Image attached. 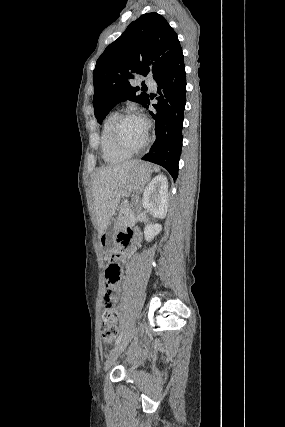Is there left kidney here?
Masks as SVG:
<instances>
[{
    "label": "left kidney",
    "mask_w": 285,
    "mask_h": 427,
    "mask_svg": "<svg viewBox=\"0 0 285 427\" xmlns=\"http://www.w3.org/2000/svg\"><path fill=\"white\" fill-rule=\"evenodd\" d=\"M168 205V180L163 174L152 179L143 193L142 206L149 210L154 217L164 218ZM160 224H150L144 228L145 240L150 242L160 233Z\"/></svg>",
    "instance_id": "left-kidney-1"
}]
</instances>
